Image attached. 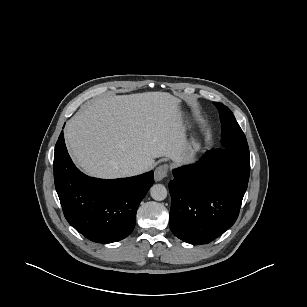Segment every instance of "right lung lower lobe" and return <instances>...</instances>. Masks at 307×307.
Wrapping results in <instances>:
<instances>
[{"label": "right lung lower lobe", "mask_w": 307, "mask_h": 307, "mask_svg": "<svg viewBox=\"0 0 307 307\" xmlns=\"http://www.w3.org/2000/svg\"><path fill=\"white\" fill-rule=\"evenodd\" d=\"M53 170L67 221L86 238L99 243L120 241L131 234L138 206L154 183L153 171L113 180L84 175L67 152L63 131L55 146Z\"/></svg>", "instance_id": "98d812e1"}]
</instances>
